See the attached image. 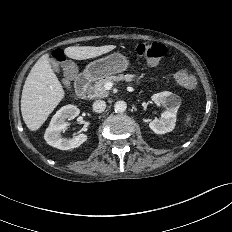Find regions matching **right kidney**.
Masks as SVG:
<instances>
[{
	"instance_id": "obj_1",
	"label": "right kidney",
	"mask_w": 232,
	"mask_h": 232,
	"mask_svg": "<svg viewBox=\"0 0 232 232\" xmlns=\"http://www.w3.org/2000/svg\"><path fill=\"white\" fill-rule=\"evenodd\" d=\"M79 113L80 110L75 105H66L58 110L46 129L44 135L46 142L60 150L74 149L83 144L87 140L86 134H79L70 139L62 138L60 134L67 128L66 120L74 119Z\"/></svg>"
}]
</instances>
